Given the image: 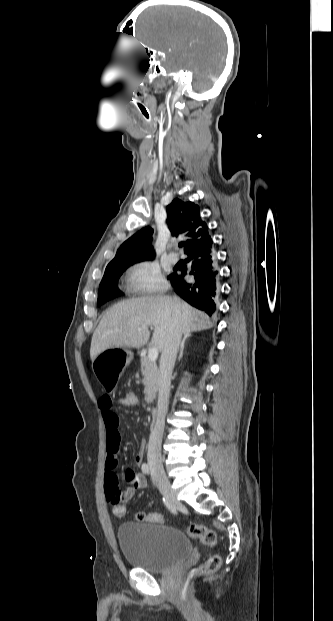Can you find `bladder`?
Wrapping results in <instances>:
<instances>
[{"instance_id":"obj_1","label":"bladder","mask_w":333,"mask_h":621,"mask_svg":"<svg viewBox=\"0 0 333 621\" xmlns=\"http://www.w3.org/2000/svg\"><path fill=\"white\" fill-rule=\"evenodd\" d=\"M120 550L128 564L151 573H165L190 553L180 530L155 522H126L117 530Z\"/></svg>"}]
</instances>
